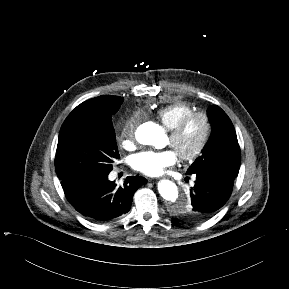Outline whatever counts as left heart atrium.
I'll list each match as a JSON object with an SVG mask.
<instances>
[{
  "mask_svg": "<svg viewBox=\"0 0 289 289\" xmlns=\"http://www.w3.org/2000/svg\"><path fill=\"white\" fill-rule=\"evenodd\" d=\"M177 158L178 154L173 149L146 150L131 157V166L144 175L158 176L165 168L174 165Z\"/></svg>",
  "mask_w": 289,
  "mask_h": 289,
  "instance_id": "39dd6f15",
  "label": "left heart atrium"
}]
</instances>
